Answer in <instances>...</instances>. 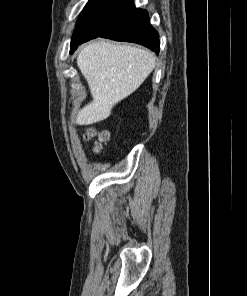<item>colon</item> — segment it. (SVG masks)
Returning <instances> with one entry per match:
<instances>
[{
	"label": "colon",
	"instance_id": "colon-1",
	"mask_svg": "<svg viewBox=\"0 0 247 296\" xmlns=\"http://www.w3.org/2000/svg\"><path fill=\"white\" fill-rule=\"evenodd\" d=\"M85 140L93 142V149L96 153H99L104 143L108 140L107 132H99L93 128H88L84 136Z\"/></svg>",
	"mask_w": 247,
	"mask_h": 296
}]
</instances>
